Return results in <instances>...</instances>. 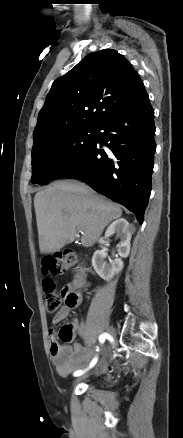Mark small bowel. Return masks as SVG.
Returning <instances> with one entry per match:
<instances>
[{"mask_svg": "<svg viewBox=\"0 0 183 438\" xmlns=\"http://www.w3.org/2000/svg\"><path fill=\"white\" fill-rule=\"evenodd\" d=\"M85 283L81 282L76 284L77 289L85 287ZM79 300L75 305L65 304L54 316L53 323H59L65 320L69 314L71 308L78 307L81 302V295L77 293ZM72 326L74 331L81 336H85V327L83 321L73 320ZM50 353L52 358V363L57 371V373L66 377L71 374L74 370L83 367L91 358L92 351L87 350L79 343H74L73 345L61 344L53 331H50ZM101 371H105V367Z\"/></svg>", "mask_w": 183, "mask_h": 438, "instance_id": "1", "label": "small bowel"}]
</instances>
